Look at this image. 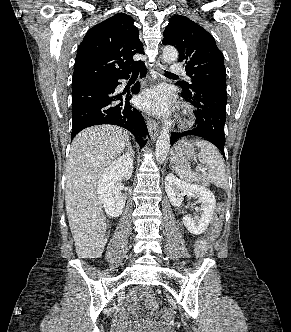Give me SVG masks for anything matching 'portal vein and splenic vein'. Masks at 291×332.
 Listing matches in <instances>:
<instances>
[{
    "mask_svg": "<svg viewBox=\"0 0 291 332\" xmlns=\"http://www.w3.org/2000/svg\"><path fill=\"white\" fill-rule=\"evenodd\" d=\"M198 170L202 173H205L206 172V168H198Z\"/></svg>",
    "mask_w": 291,
    "mask_h": 332,
    "instance_id": "18ae733b",
    "label": "portal vein and splenic vein"
}]
</instances>
